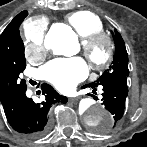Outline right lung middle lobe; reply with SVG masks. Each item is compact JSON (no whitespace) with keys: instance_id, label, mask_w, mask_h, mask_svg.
<instances>
[{"instance_id":"right-lung-middle-lobe-1","label":"right lung middle lobe","mask_w":147,"mask_h":147,"mask_svg":"<svg viewBox=\"0 0 147 147\" xmlns=\"http://www.w3.org/2000/svg\"><path fill=\"white\" fill-rule=\"evenodd\" d=\"M18 15L16 25L7 36L4 56L0 59V99L26 89V81L20 78L26 68V60L19 26L28 12L23 11Z\"/></svg>"}]
</instances>
